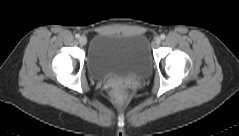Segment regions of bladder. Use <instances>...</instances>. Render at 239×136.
I'll return each mask as SVG.
<instances>
[{
    "instance_id": "obj_1",
    "label": "bladder",
    "mask_w": 239,
    "mask_h": 136,
    "mask_svg": "<svg viewBox=\"0 0 239 136\" xmlns=\"http://www.w3.org/2000/svg\"><path fill=\"white\" fill-rule=\"evenodd\" d=\"M87 65L98 79L147 75L152 68L150 43L141 34L100 32L92 39Z\"/></svg>"
}]
</instances>
